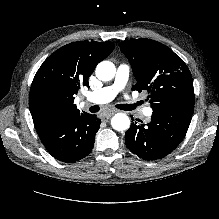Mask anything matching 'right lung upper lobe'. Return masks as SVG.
<instances>
[{"instance_id": "1", "label": "right lung upper lobe", "mask_w": 219, "mask_h": 219, "mask_svg": "<svg viewBox=\"0 0 219 219\" xmlns=\"http://www.w3.org/2000/svg\"><path fill=\"white\" fill-rule=\"evenodd\" d=\"M114 49L112 42L79 41L52 53L37 71L29 93L34 124L45 118L78 113L74 102L80 85Z\"/></svg>"}]
</instances>
